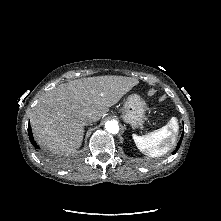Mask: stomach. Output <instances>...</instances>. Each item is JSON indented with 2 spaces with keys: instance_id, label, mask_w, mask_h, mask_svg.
<instances>
[{
  "instance_id": "1",
  "label": "stomach",
  "mask_w": 221,
  "mask_h": 221,
  "mask_svg": "<svg viewBox=\"0 0 221 221\" xmlns=\"http://www.w3.org/2000/svg\"><path fill=\"white\" fill-rule=\"evenodd\" d=\"M146 110L147 105L145 101L139 95L131 94L123 105L121 117L132 128H138L144 124Z\"/></svg>"
}]
</instances>
